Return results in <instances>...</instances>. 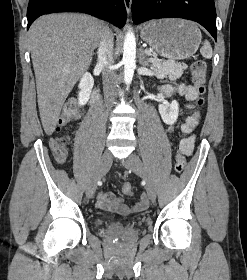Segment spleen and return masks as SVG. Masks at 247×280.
Instances as JSON below:
<instances>
[{"label":"spleen","instance_id":"spleen-1","mask_svg":"<svg viewBox=\"0 0 247 280\" xmlns=\"http://www.w3.org/2000/svg\"><path fill=\"white\" fill-rule=\"evenodd\" d=\"M200 53L203 57L210 59L212 57V48L210 43L206 40L200 49Z\"/></svg>","mask_w":247,"mask_h":280}]
</instances>
